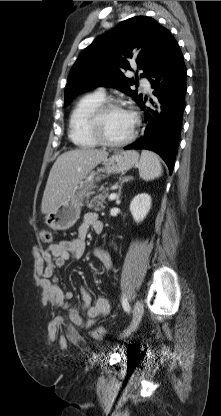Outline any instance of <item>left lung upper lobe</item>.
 <instances>
[{
  "mask_svg": "<svg viewBox=\"0 0 221 416\" xmlns=\"http://www.w3.org/2000/svg\"><path fill=\"white\" fill-rule=\"evenodd\" d=\"M167 31L153 18L138 16L122 21L112 31L97 37L71 69L65 88V106L77 95L97 86L116 88L140 105L142 94L130 88L136 81L124 73L132 70L131 64L135 63L143 71L140 76H148Z\"/></svg>",
  "mask_w": 221,
  "mask_h": 416,
  "instance_id": "left-lung-upper-lobe-1",
  "label": "left lung upper lobe"
}]
</instances>
